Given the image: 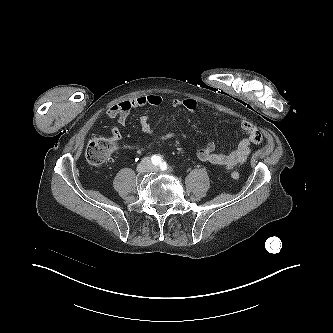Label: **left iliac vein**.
Here are the masks:
<instances>
[{
  "mask_svg": "<svg viewBox=\"0 0 333 333\" xmlns=\"http://www.w3.org/2000/svg\"><path fill=\"white\" fill-rule=\"evenodd\" d=\"M151 170H152V171H158L159 168H158L157 166H151Z\"/></svg>",
  "mask_w": 333,
  "mask_h": 333,
  "instance_id": "obj_1",
  "label": "left iliac vein"
}]
</instances>
